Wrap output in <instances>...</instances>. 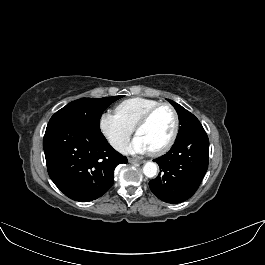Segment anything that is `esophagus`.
Here are the masks:
<instances>
[{
    "label": "esophagus",
    "mask_w": 265,
    "mask_h": 265,
    "mask_svg": "<svg viewBox=\"0 0 265 265\" xmlns=\"http://www.w3.org/2000/svg\"><path fill=\"white\" fill-rule=\"evenodd\" d=\"M129 162H130V163H138V164H141V163H143L144 161H143V160H140V159L129 158Z\"/></svg>",
    "instance_id": "obj_1"
}]
</instances>
